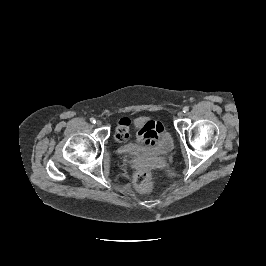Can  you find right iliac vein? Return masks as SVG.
<instances>
[{
    "label": "right iliac vein",
    "mask_w": 266,
    "mask_h": 266,
    "mask_svg": "<svg viewBox=\"0 0 266 266\" xmlns=\"http://www.w3.org/2000/svg\"><path fill=\"white\" fill-rule=\"evenodd\" d=\"M95 123H96L97 126H101L102 125V122L100 120H97Z\"/></svg>",
    "instance_id": "63e3f726"
}]
</instances>
